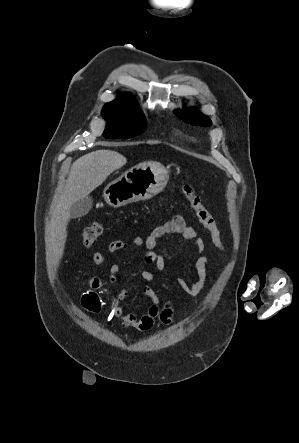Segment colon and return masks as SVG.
I'll return each instance as SVG.
<instances>
[{"label": "colon", "mask_w": 299, "mask_h": 443, "mask_svg": "<svg viewBox=\"0 0 299 443\" xmlns=\"http://www.w3.org/2000/svg\"><path fill=\"white\" fill-rule=\"evenodd\" d=\"M181 192L189 202L192 211L199 222L208 230L215 246L222 247V239L215 217L203 204L201 198L194 192L191 186L184 184ZM104 226L100 221H94L86 226L82 232V242L87 248L91 247L103 233Z\"/></svg>", "instance_id": "1"}]
</instances>
